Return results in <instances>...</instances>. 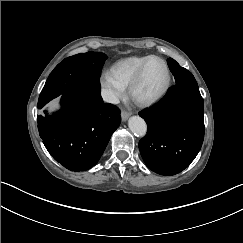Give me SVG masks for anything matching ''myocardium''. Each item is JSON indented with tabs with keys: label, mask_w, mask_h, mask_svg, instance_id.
Returning <instances> with one entry per match:
<instances>
[{
	"label": "myocardium",
	"mask_w": 243,
	"mask_h": 243,
	"mask_svg": "<svg viewBox=\"0 0 243 243\" xmlns=\"http://www.w3.org/2000/svg\"><path fill=\"white\" fill-rule=\"evenodd\" d=\"M153 61H160L165 66V68L167 70L166 85L159 94H157L155 97H153L151 99H147V100L137 99L136 96H135L136 90H137L138 86L141 84L149 65ZM172 80H173V76H172V71H171L169 64L164 59H162L160 57L152 58V59L146 61L141 66L138 74L136 75V77L131 82V84L129 86L130 96L138 106H140V107H151V106L159 103L167 95V93L169 92V90L171 88Z\"/></svg>",
	"instance_id": "obj_1"
}]
</instances>
